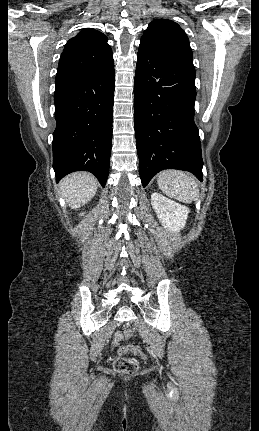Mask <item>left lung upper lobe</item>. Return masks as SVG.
<instances>
[{
    "label": "left lung upper lobe",
    "mask_w": 259,
    "mask_h": 431,
    "mask_svg": "<svg viewBox=\"0 0 259 431\" xmlns=\"http://www.w3.org/2000/svg\"><path fill=\"white\" fill-rule=\"evenodd\" d=\"M141 43L148 44L158 52L193 66L189 39L184 30L174 21L153 20L141 37Z\"/></svg>",
    "instance_id": "obj_1"
}]
</instances>
